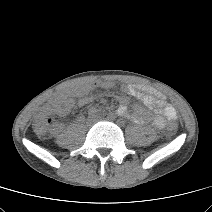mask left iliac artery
Wrapping results in <instances>:
<instances>
[{
	"label": "left iliac artery",
	"mask_w": 212,
	"mask_h": 212,
	"mask_svg": "<svg viewBox=\"0 0 212 212\" xmlns=\"http://www.w3.org/2000/svg\"><path fill=\"white\" fill-rule=\"evenodd\" d=\"M117 122H118L119 124H122V123H123V122H122V121H120V120H118Z\"/></svg>",
	"instance_id": "left-iliac-artery-1"
}]
</instances>
